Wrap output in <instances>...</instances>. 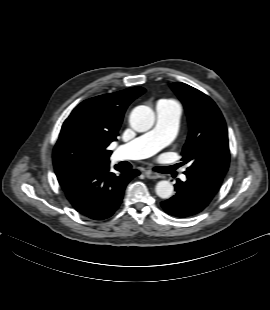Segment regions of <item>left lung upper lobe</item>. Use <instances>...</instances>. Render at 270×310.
I'll return each instance as SVG.
<instances>
[{
    "instance_id": "1",
    "label": "left lung upper lobe",
    "mask_w": 270,
    "mask_h": 310,
    "mask_svg": "<svg viewBox=\"0 0 270 310\" xmlns=\"http://www.w3.org/2000/svg\"><path fill=\"white\" fill-rule=\"evenodd\" d=\"M183 101L190 131L183 147L185 173H198L223 179L229 166V145L224 118L213 100L201 91L181 82L171 84Z\"/></svg>"
}]
</instances>
